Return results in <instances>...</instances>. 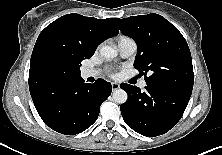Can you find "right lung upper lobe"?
I'll use <instances>...</instances> for the list:
<instances>
[{"label":"right lung upper lobe","mask_w":222,"mask_h":155,"mask_svg":"<svg viewBox=\"0 0 222 155\" xmlns=\"http://www.w3.org/2000/svg\"><path fill=\"white\" fill-rule=\"evenodd\" d=\"M119 33L115 18L96 19L77 13L64 15L49 24L39 34L34 46L29 70L31 94L45 92L61 78H65L51 64L48 46L58 37L66 38L71 46L85 59H89L98 45Z\"/></svg>","instance_id":"cb5924a9"}]
</instances>
